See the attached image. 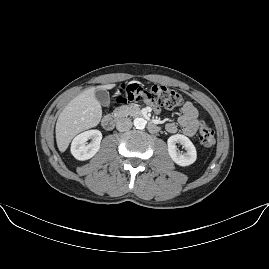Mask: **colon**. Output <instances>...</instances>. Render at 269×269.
<instances>
[{"instance_id":"5ec220e1","label":"colon","mask_w":269,"mask_h":269,"mask_svg":"<svg viewBox=\"0 0 269 269\" xmlns=\"http://www.w3.org/2000/svg\"><path fill=\"white\" fill-rule=\"evenodd\" d=\"M115 100L120 105L141 101L165 109H174L182 104V96L178 91L160 83L153 84L150 89H142L138 84H123L116 91ZM198 138L206 147L215 144L214 132L205 121L199 123Z\"/></svg>"}]
</instances>
